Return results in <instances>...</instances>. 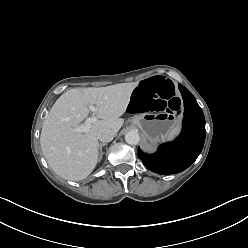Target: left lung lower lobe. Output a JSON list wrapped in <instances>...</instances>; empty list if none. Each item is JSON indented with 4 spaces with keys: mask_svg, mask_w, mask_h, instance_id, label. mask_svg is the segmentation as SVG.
I'll return each instance as SVG.
<instances>
[{
    "mask_svg": "<svg viewBox=\"0 0 248 248\" xmlns=\"http://www.w3.org/2000/svg\"><path fill=\"white\" fill-rule=\"evenodd\" d=\"M184 102L183 128L173 142L161 145L155 154L147 155L138 149V157L151 171L176 174L187 169L199 156L205 141V118L194 96L179 84Z\"/></svg>",
    "mask_w": 248,
    "mask_h": 248,
    "instance_id": "left-lung-lower-lobe-1",
    "label": "left lung lower lobe"
}]
</instances>
